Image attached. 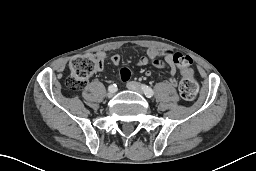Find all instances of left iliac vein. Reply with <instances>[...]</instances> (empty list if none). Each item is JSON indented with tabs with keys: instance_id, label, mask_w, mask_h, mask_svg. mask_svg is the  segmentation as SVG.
<instances>
[{
	"instance_id": "obj_1",
	"label": "left iliac vein",
	"mask_w": 256,
	"mask_h": 171,
	"mask_svg": "<svg viewBox=\"0 0 256 171\" xmlns=\"http://www.w3.org/2000/svg\"><path fill=\"white\" fill-rule=\"evenodd\" d=\"M126 86L129 90L136 91V92L141 93V94H143V92H144L142 87L137 82L130 81V82L127 83Z\"/></svg>"
}]
</instances>
